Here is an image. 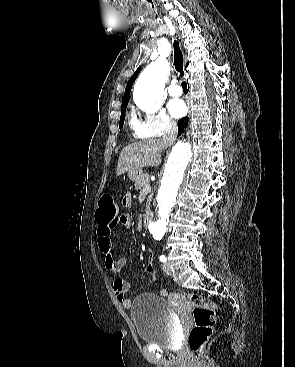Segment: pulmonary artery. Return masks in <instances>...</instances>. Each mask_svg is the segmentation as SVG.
<instances>
[{
    "label": "pulmonary artery",
    "mask_w": 295,
    "mask_h": 367,
    "mask_svg": "<svg viewBox=\"0 0 295 367\" xmlns=\"http://www.w3.org/2000/svg\"><path fill=\"white\" fill-rule=\"evenodd\" d=\"M168 93L172 97H179L182 95V89L176 81H173L169 86Z\"/></svg>",
    "instance_id": "obj_1"
}]
</instances>
